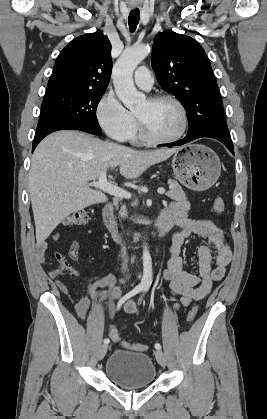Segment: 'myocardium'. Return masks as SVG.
Returning <instances> with one entry per match:
<instances>
[{"label":"myocardium","mask_w":267,"mask_h":419,"mask_svg":"<svg viewBox=\"0 0 267 419\" xmlns=\"http://www.w3.org/2000/svg\"><path fill=\"white\" fill-rule=\"evenodd\" d=\"M147 101L151 104L154 103H158L161 101H169L172 102L173 104H175L177 106V108L180 111L181 114V119H182V124L180 127V130L172 137H168V138H160L157 137L155 135H153L148 128L146 127L145 123L143 122V120L136 115V120H137V124H138V128H139V132L140 135L142 136V138L150 143L153 144H168V143H173L178 141L179 139L182 138V136L185 134L187 127H188V114H187V110L185 108V106L183 105V103L177 99L174 96L171 95H167V94H159V95H155V96H151L147 99Z\"/></svg>","instance_id":"1"}]
</instances>
